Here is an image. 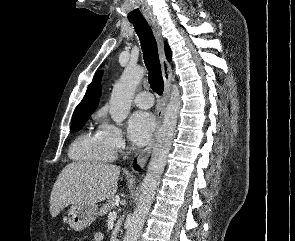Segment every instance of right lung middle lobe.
Wrapping results in <instances>:
<instances>
[{
    "label": "right lung middle lobe",
    "instance_id": "1",
    "mask_svg": "<svg viewBox=\"0 0 295 241\" xmlns=\"http://www.w3.org/2000/svg\"><path fill=\"white\" fill-rule=\"evenodd\" d=\"M91 114L92 113H83L79 115H74L72 118V130H80L84 126L85 122L88 120Z\"/></svg>",
    "mask_w": 295,
    "mask_h": 241
}]
</instances>
